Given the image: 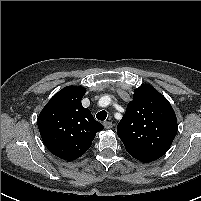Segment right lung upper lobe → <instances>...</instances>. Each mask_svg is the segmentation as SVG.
Instances as JSON below:
<instances>
[{
	"mask_svg": "<svg viewBox=\"0 0 201 201\" xmlns=\"http://www.w3.org/2000/svg\"><path fill=\"white\" fill-rule=\"evenodd\" d=\"M86 89L67 86L57 92L38 116L42 140L55 156L72 161L91 146L95 134L104 129L81 100Z\"/></svg>",
	"mask_w": 201,
	"mask_h": 201,
	"instance_id": "obj_1",
	"label": "right lung upper lobe"
}]
</instances>
